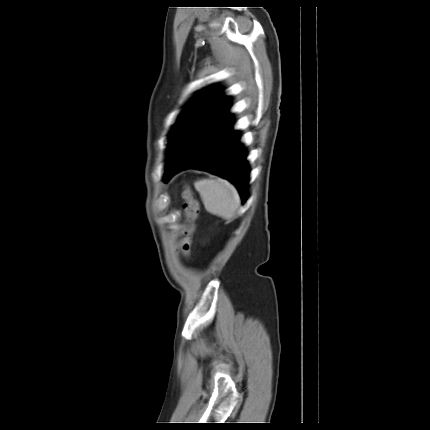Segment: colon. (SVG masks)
I'll use <instances>...</instances> for the list:
<instances>
[{
    "label": "colon",
    "instance_id": "5ec220e1",
    "mask_svg": "<svg viewBox=\"0 0 430 430\" xmlns=\"http://www.w3.org/2000/svg\"><path fill=\"white\" fill-rule=\"evenodd\" d=\"M184 199V214L186 225L183 230L181 240L179 242V252L185 260H188L191 255L192 236L194 233V222L199 212L198 201L190 188H185L183 191Z\"/></svg>",
    "mask_w": 430,
    "mask_h": 430
}]
</instances>
